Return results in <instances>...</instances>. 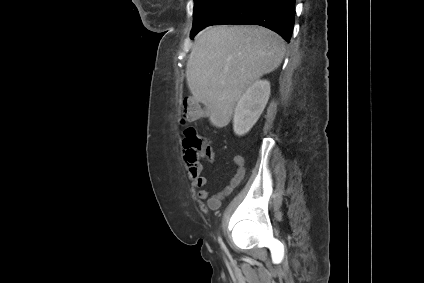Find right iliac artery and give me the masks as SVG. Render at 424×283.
<instances>
[{
    "label": "right iliac artery",
    "instance_id": "1",
    "mask_svg": "<svg viewBox=\"0 0 424 283\" xmlns=\"http://www.w3.org/2000/svg\"><path fill=\"white\" fill-rule=\"evenodd\" d=\"M218 242L220 243L221 247L226 251V247H225L224 243L222 242L221 237H218Z\"/></svg>",
    "mask_w": 424,
    "mask_h": 283
}]
</instances>
